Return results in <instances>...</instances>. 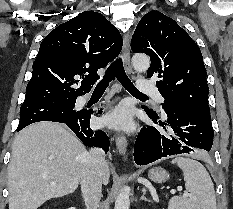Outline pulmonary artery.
Wrapping results in <instances>:
<instances>
[{"label": "pulmonary artery", "mask_w": 233, "mask_h": 209, "mask_svg": "<svg viewBox=\"0 0 233 209\" xmlns=\"http://www.w3.org/2000/svg\"><path fill=\"white\" fill-rule=\"evenodd\" d=\"M138 91H140L143 94L152 95L159 105H162L164 102V98L158 92L156 86L149 80H139Z\"/></svg>", "instance_id": "obj_1"}]
</instances>
